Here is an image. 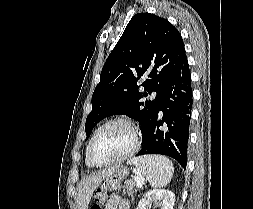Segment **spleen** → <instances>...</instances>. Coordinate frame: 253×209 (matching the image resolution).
Returning a JSON list of instances; mask_svg holds the SVG:
<instances>
[{"label":"spleen","instance_id":"3e777b00","mask_svg":"<svg viewBox=\"0 0 253 209\" xmlns=\"http://www.w3.org/2000/svg\"><path fill=\"white\" fill-rule=\"evenodd\" d=\"M127 163L134 165L154 188L166 186L174 173L172 162L165 156L145 155L132 158Z\"/></svg>","mask_w":253,"mask_h":209}]
</instances>
